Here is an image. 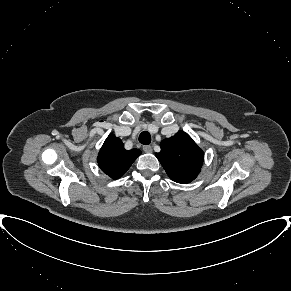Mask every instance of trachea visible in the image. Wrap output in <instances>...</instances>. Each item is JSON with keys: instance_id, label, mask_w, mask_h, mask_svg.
<instances>
[{"instance_id": "trachea-1", "label": "trachea", "mask_w": 291, "mask_h": 291, "mask_svg": "<svg viewBox=\"0 0 291 291\" xmlns=\"http://www.w3.org/2000/svg\"><path fill=\"white\" fill-rule=\"evenodd\" d=\"M139 142L143 145H148L151 143V136L147 131H143L139 135Z\"/></svg>"}]
</instances>
